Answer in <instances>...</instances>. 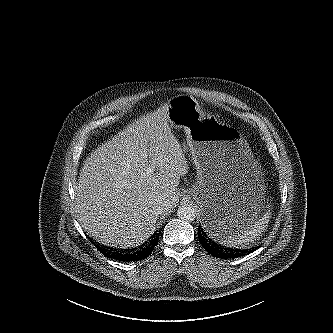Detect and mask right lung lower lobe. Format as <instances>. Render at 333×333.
<instances>
[{"mask_svg": "<svg viewBox=\"0 0 333 333\" xmlns=\"http://www.w3.org/2000/svg\"><path fill=\"white\" fill-rule=\"evenodd\" d=\"M159 236H154L142 249L132 254H119L106 248L98 247L106 257L113 258L119 261H139L148 257L154 247L158 244Z\"/></svg>", "mask_w": 333, "mask_h": 333, "instance_id": "1", "label": "right lung lower lobe"}]
</instances>
